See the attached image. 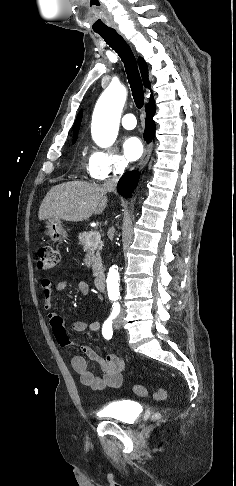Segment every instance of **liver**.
I'll return each instance as SVG.
<instances>
[{"instance_id":"obj_1","label":"liver","mask_w":236,"mask_h":486,"mask_svg":"<svg viewBox=\"0 0 236 486\" xmlns=\"http://www.w3.org/2000/svg\"><path fill=\"white\" fill-rule=\"evenodd\" d=\"M103 186L81 181L62 183L52 187L43 199L38 217L80 222L93 214H101L107 205Z\"/></svg>"}]
</instances>
